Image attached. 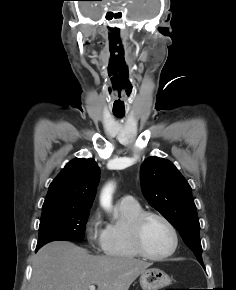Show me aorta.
<instances>
[{
    "mask_svg": "<svg viewBox=\"0 0 236 290\" xmlns=\"http://www.w3.org/2000/svg\"><path fill=\"white\" fill-rule=\"evenodd\" d=\"M114 191V186L113 184L109 183L104 187L102 190L101 196H100V203L102 207L109 211L112 208V194Z\"/></svg>",
    "mask_w": 236,
    "mask_h": 290,
    "instance_id": "762f6f07",
    "label": "aorta"
}]
</instances>
